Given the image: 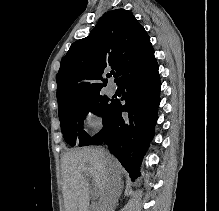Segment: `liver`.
<instances>
[{
    "label": "liver",
    "instance_id": "obj_1",
    "mask_svg": "<svg viewBox=\"0 0 219 211\" xmlns=\"http://www.w3.org/2000/svg\"><path fill=\"white\" fill-rule=\"evenodd\" d=\"M123 171V167L113 155L101 149H72L65 153L62 161V183L64 205L66 211H91L90 193H93L85 173L91 175L96 185V193L100 195L95 211H105L103 209L107 201L114 199V185L112 179L116 181V175Z\"/></svg>",
    "mask_w": 219,
    "mask_h": 211
}]
</instances>
